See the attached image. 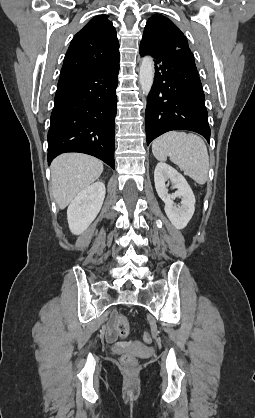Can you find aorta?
I'll return each instance as SVG.
<instances>
[{
    "label": "aorta",
    "instance_id": "1",
    "mask_svg": "<svg viewBox=\"0 0 255 418\" xmlns=\"http://www.w3.org/2000/svg\"><path fill=\"white\" fill-rule=\"evenodd\" d=\"M154 80V62L150 56L142 59L139 72V83L144 95H148Z\"/></svg>",
    "mask_w": 255,
    "mask_h": 418
}]
</instances>
